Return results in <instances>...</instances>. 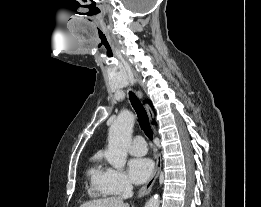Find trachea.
Segmentation results:
<instances>
[{
    "mask_svg": "<svg viewBox=\"0 0 261 207\" xmlns=\"http://www.w3.org/2000/svg\"><path fill=\"white\" fill-rule=\"evenodd\" d=\"M129 99L137 114L141 129L144 131L145 135L150 140H152L153 132H152V129H151V126L149 123V118H148L145 108L143 107L140 100L137 98V96L134 93H132V92L129 93Z\"/></svg>",
    "mask_w": 261,
    "mask_h": 207,
    "instance_id": "trachea-1",
    "label": "trachea"
}]
</instances>
